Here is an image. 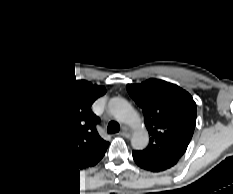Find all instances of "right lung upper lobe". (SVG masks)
Masks as SVG:
<instances>
[{
    "mask_svg": "<svg viewBox=\"0 0 233 194\" xmlns=\"http://www.w3.org/2000/svg\"><path fill=\"white\" fill-rule=\"evenodd\" d=\"M102 92L86 85H71L49 98L42 112L43 132L51 153L63 165L86 167L105 154L108 142L99 137V118L90 112Z\"/></svg>",
    "mask_w": 233,
    "mask_h": 194,
    "instance_id": "cb5924a9",
    "label": "right lung upper lobe"
}]
</instances>
